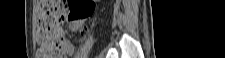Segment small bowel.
I'll return each mask as SVG.
<instances>
[{"label": "small bowel", "instance_id": "obj_1", "mask_svg": "<svg viewBox=\"0 0 225 58\" xmlns=\"http://www.w3.org/2000/svg\"><path fill=\"white\" fill-rule=\"evenodd\" d=\"M69 25L73 31H77L82 25V20L70 21ZM62 44H63L64 50H65V58H67L69 55H71L73 53L74 48H73L72 44L66 39L63 40Z\"/></svg>", "mask_w": 225, "mask_h": 58}]
</instances>
